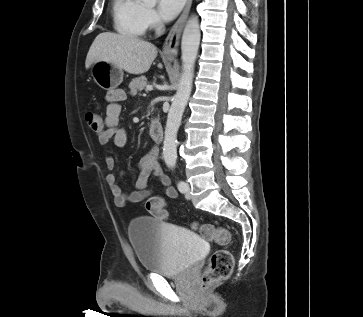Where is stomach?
Wrapping results in <instances>:
<instances>
[{"label": "stomach", "mask_w": 363, "mask_h": 317, "mask_svg": "<svg viewBox=\"0 0 363 317\" xmlns=\"http://www.w3.org/2000/svg\"><path fill=\"white\" fill-rule=\"evenodd\" d=\"M123 70L110 62L98 61L92 64L91 76L102 89L113 90L123 80Z\"/></svg>", "instance_id": "0dacf381"}]
</instances>
